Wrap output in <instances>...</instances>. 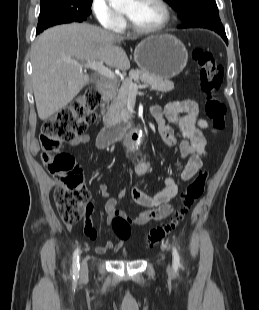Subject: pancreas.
Wrapping results in <instances>:
<instances>
[{
  "label": "pancreas",
  "mask_w": 259,
  "mask_h": 310,
  "mask_svg": "<svg viewBox=\"0 0 259 310\" xmlns=\"http://www.w3.org/2000/svg\"><path fill=\"white\" fill-rule=\"evenodd\" d=\"M140 80L153 91L169 92L174 89V83L167 79L154 77L140 70H133L129 73V77L121 87H118L115 82H112L113 91L109 95H106L107 101L111 100V104L107 107L106 113L103 114L104 123L117 124L128 122L129 114L126 110V104L130 94L128 86L133 81L138 82Z\"/></svg>",
  "instance_id": "1"
}]
</instances>
